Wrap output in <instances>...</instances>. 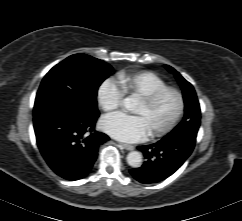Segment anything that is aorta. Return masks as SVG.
I'll list each match as a JSON object with an SVG mask.
<instances>
[{
  "instance_id": "762f6f07",
  "label": "aorta",
  "mask_w": 242,
  "mask_h": 221,
  "mask_svg": "<svg viewBox=\"0 0 242 221\" xmlns=\"http://www.w3.org/2000/svg\"><path fill=\"white\" fill-rule=\"evenodd\" d=\"M133 104H134L133 98L128 97L124 100V107L128 110H131ZM126 159H127L128 165L133 168H138L142 165V154L138 151L129 152Z\"/></svg>"
}]
</instances>
